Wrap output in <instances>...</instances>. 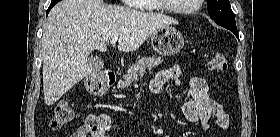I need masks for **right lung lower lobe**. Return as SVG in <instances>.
<instances>
[{"label": "right lung lower lobe", "instance_id": "98d812e1", "mask_svg": "<svg viewBox=\"0 0 280 137\" xmlns=\"http://www.w3.org/2000/svg\"><path fill=\"white\" fill-rule=\"evenodd\" d=\"M59 1H60V0H52V2H51V4H50L49 8L47 9V12H46L47 15H48L49 11L51 10V8H52L56 3H58Z\"/></svg>", "mask_w": 280, "mask_h": 137}]
</instances>
